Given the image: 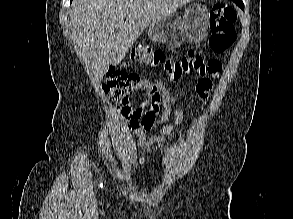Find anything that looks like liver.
<instances>
[{
	"label": "liver",
	"instance_id": "6515ba94",
	"mask_svg": "<svg viewBox=\"0 0 293 219\" xmlns=\"http://www.w3.org/2000/svg\"><path fill=\"white\" fill-rule=\"evenodd\" d=\"M193 0H73L69 17L76 50L95 80L118 65L150 25Z\"/></svg>",
	"mask_w": 293,
	"mask_h": 219
}]
</instances>
